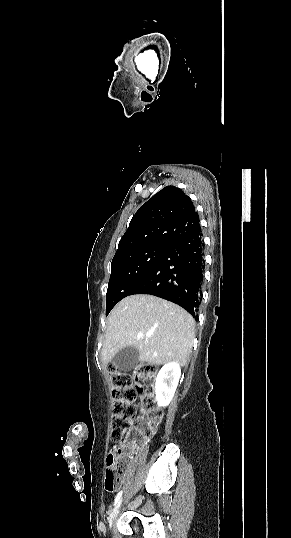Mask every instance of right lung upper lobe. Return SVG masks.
I'll return each mask as SVG.
<instances>
[{"label":"right lung upper lobe","instance_id":"1","mask_svg":"<svg viewBox=\"0 0 291 538\" xmlns=\"http://www.w3.org/2000/svg\"><path fill=\"white\" fill-rule=\"evenodd\" d=\"M191 199L175 186H166L135 213L114 255L148 246H173L199 230Z\"/></svg>","mask_w":291,"mask_h":538}]
</instances>
